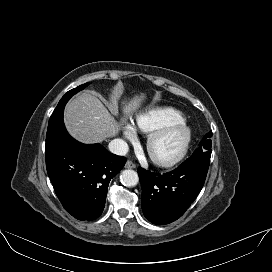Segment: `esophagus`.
Instances as JSON below:
<instances>
[{
	"label": "esophagus",
	"mask_w": 272,
	"mask_h": 272,
	"mask_svg": "<svg viewBox=\"0 0 272 272\" xmlns=\"http://www.w3.org/2000/svg\"><path fill=\"white\" fill-rule=\"evenodd\" d=\"M125 168L135 169L136 168V164H134L131 161H127L126 164H125Z\"/></svg>",
	"instance_id": "obj_1"
}]
</instances>
